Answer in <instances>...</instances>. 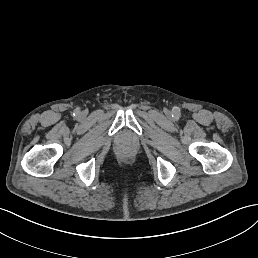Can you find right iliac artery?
Returning a JSON list of instances; mask_svg holds the SVG:
<instances>
[{"instance_id": "82829eb1", "label": "right iliac artery", "mask_w": 258, "mask_h": 258, "mask_svg": "<svg viewBox=\"0 0 258 258\" xmlns=\"http://www.w3.org/2000/svg\"><path fill=\"white\" fill-rule=\"evenodd\" d=\"M79 114H80V108L77 107V108L74 110L73 115H74L75 117H77Z\"/></svg>"}]
</instances>
